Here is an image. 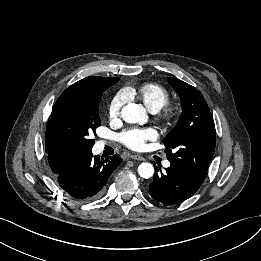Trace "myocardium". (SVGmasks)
Segmentation results:
<instances>
[{
    "instance_id": "obj_1",
    "label": "myocardium",
    "mask_w": 261,
    "mask_h": 261,
    "mask_svg": "<svg viewBox=\"0 0 261 261\" xmlns=\"http://www.w3.org/2000/svg\"><path fill=\"white\" fill-rule=\"evenodd\" d=\"M157 120L163 125L172 124L177 117V108L167 102L156 114Z\"/></svg>"
}]
</instances>
